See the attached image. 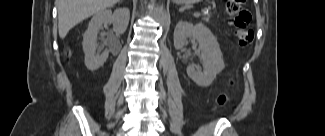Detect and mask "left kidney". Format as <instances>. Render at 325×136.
<instances>
[{
    "instance_id": "obj_1",
    "label": "left kidney",
    "mask_w": 325,
    "mask_h": 136,
    "mask_svg": "<svg viewBox=\"0 0 325 136\" xmlns=\"http://www.w3.org/2000/svg\"><path fill=\"white\" fill-rule=\"evenodd\" d=\"M188 39L197 41L204 64L203 72L196 70L193 65H188V76L199 86L208 87L212 84L217 74L224 69V61L217 39L202 23L193 25L187 21H179L174 30V46L183 49L188 44Z\"/></svg>"
}]
</instances>
